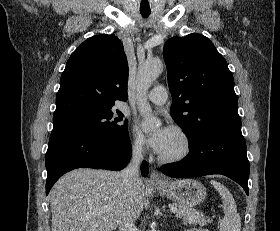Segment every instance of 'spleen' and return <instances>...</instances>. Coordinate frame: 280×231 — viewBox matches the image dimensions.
<instances>
[{"mask_svg":"<svg viewBox=\"0 0 280 231\" xmlns=\"http://www.w3.org/2000/svg\"><path fill=\"white\" fill-rule=\"evenodd\" d=\"M214 185L215 189L222 195L223 211L225 213L220 223V231H241V219L239 213H237V205L235 199L230 193L229 189L219 183V181H210Z\"/></svg>","mask_w":280,"mask_h":231,"instance_id":"spleen-1","label":"spleen"}]
</instances>
